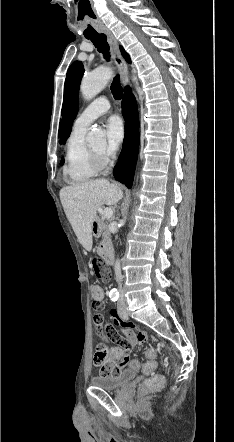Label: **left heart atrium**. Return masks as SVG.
Returning <instances> with one entry per match:
<instances>
[{"label": "left heart atrium", "instance_id": "left-heart-atrium-1", "mask_svg": "<svg viewBox=\"0 0 234 442\" xmlns=\"http://www.w3.org/2000/svg\"><path fill=\"white\" fill-rule=\"evenodd\" d=\"M105 132L107 137L105 152L112 155L124 138V125L121 118L117 115L110 116L105 123Z\"/></svg>", "mask_w": 234, "mask_h": 442}]
</instances>
